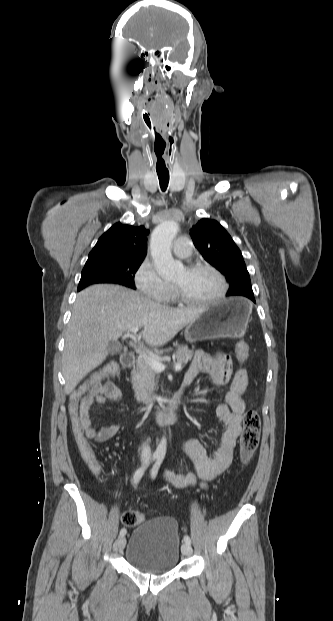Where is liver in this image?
Instances as JSON below:
<instances>
[{
    "instance_id": "1",
    "label": "liver",
    "mask_w": 333,
    "mask_h": 621,
    "mask_svg": "<svg viewBox=\"0 0 333 621\" xmlns=\"http://www.w3.org/2000/svg\"><path fill=\"white\" fill-rule=\"evenodd\" d=\"M203 308H170L118 285H94L82 290L77 294L65 335L62 373L66 394L104 361L109 343L127 330L143 327V340L158 347L195 321Z\"/></svg>"
}]
</instances>
